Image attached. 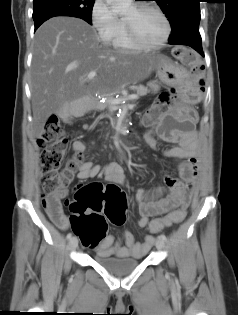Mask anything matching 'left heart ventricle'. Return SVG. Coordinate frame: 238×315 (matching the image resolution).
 I'll use <instances>...</instances> for the list:
<instances>
[{
  "label": "left heart ventricle",
  "instance_id": "obj_1",
  "mask_svg": "<svg viewBox=\"0 0 238 315\" xmlns=\"http://www.w3.org/2000/svg\"><path fill=\"white\" fill-rule=\"evenodd\" d=\"M132 21L138 38L147 44L159 42L165 34V25L161 17L153 11L136 13L134 6L125 15Z\"/></svg>",
  "mask_w": 238,
  "mask_h": 315
}]
</instances>
